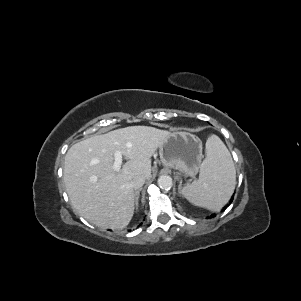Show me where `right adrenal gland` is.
<instances>
[{
  "label": "right adrenal gland",
  "mask_w": 301,
  "mask_h": 301,
  "mask_svg": "<svg viewBox=\"0 0 301 301\" xmlns=\"http://www.w3.org/2000/svg\"><path fill=\"white\" fill-rule=\"evenodd\" d=\"M140 191H141V189L135 191V200H134V202H135L136 210H138V199H139V196H140Z\"/></svg>",
  "instance_id": "right-adrenal-gland-1"
}]
</instances>
